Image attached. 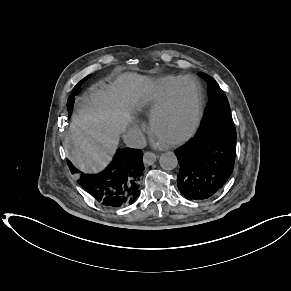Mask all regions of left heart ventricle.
Segmentation results:
<instances>
[{
  "mask_svg": "<svg viewBox=\"0 0 291 291\" xmlns=\"http://www.w3.org/2000/svg\"><path fill=\"white\" fill-rule=\"evenodd\" d=\"M193 111L194 86L187 83L178 93L172 109L157 123L158 138L170 141L184 134L192 124Z\"/></svg>",
  "mask_w": 291,
  "mask_h": 291,
  "instance_id": "left-heart-ventricle-1",
  "label": "left heart ventricle"
}]
</instances>
